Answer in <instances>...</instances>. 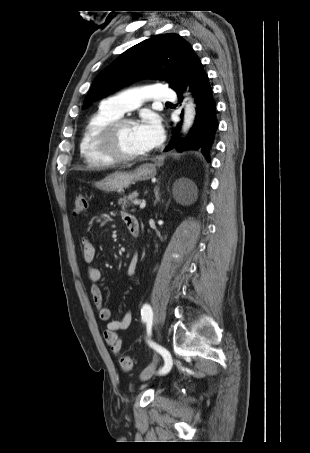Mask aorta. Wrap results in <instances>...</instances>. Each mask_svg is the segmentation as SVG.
<instances>
[{
    "mask_svg": "<svg viewBox=\"0 0 310 453\" xmlns=\"http://www.w3.org/2000/svg\"><path fill=\"white\" fill-rule=\"evenodd\" d=\"M196 111L193 99L188 98V101L184 109V121H183V132H187L193 125L195 119Z\"/></svg>",
    "mask_w": 310,
    "mask_h": 453,
    "instance_id": "obj_1",
    "label": "aorta"
}]
</instances>
